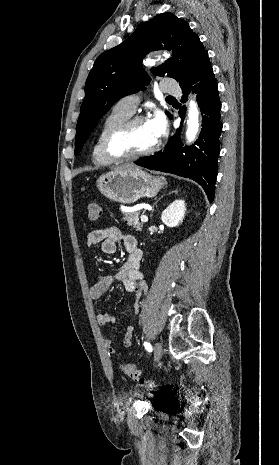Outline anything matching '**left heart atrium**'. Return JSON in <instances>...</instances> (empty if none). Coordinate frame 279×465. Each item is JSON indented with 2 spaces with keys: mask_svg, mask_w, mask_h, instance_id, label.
Here are the masks:
<instances>
[{
  "mask_svg": "<svg viewBox=\"0 0 279 465\" xmlns=\"http://www.w3.org/2000/svg\"><path fill=\"white\" fill-rule=\"evenodd\" d=\"M148 123L156 139L164 134L166 121L161 113H157Z\"/></svg>",
  "mask_w": 279,
  "mask_h": 465,
  "instance_id": "obj_1",
  "label": "left heart atrium"
}]
</instances>
